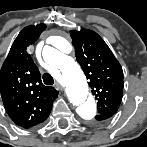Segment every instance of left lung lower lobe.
Segmentation results:
<instances>
[{"mask_svg":"<svg viewBox=\"0 0 147 147\" xmlns=\"http://www.w3.org/2000/svg\"><path fill=\"white\" fill-rule=\"evenodd\" d=\"M113 114H102V115H97L96 118L97 120H106L110 118Z\"/></svg>","mask_w":147,"mask_h":147,"instance_id":"left-lung-lower-lobe-1","label":"left lung lower lobe"}]
</instances>
